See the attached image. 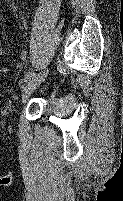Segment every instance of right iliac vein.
Masks as SVG:
<instances>
[{"label": "right iliac vein", "mask_w": 123, "mask_h": 201, "mask_svg": "<svg viewBox=\"0 0 123 201\" xmlns=\"http://www.w3.org/2000/svg\"><path fill=\"white\" fill-rule=\"evenodd\" d=\"M48 74V69L43 70L38 75L31 78L22 90L21 104L25 103L29 96L35 91L37 87L45 80Z\"/></svg>", "instance_id": "1"}]
</instances>
